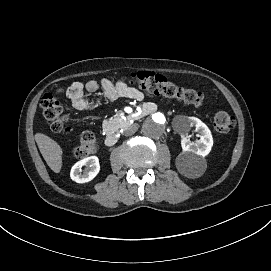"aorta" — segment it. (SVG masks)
Returning a JSON list of instances; mask_svg holds the SVG:
<instances>
[{
    "label": "aorta",
    "mask_w": 271,
    "mask_h": 271,
    "mask_svg": "<svg viewBox=\"0 0 271 271\" xmlns=\"http://www.w3.org/2000/svg\"><path fill=\"white\" fill-rule=\"evenodd\" d=\"M168 120L164 113L156 112L148 116L142 125L145 136L157 139L163 135L167 128Z\"/></svg>",
    "instance_id": "obj_1"
}]
</instances>
